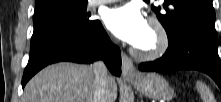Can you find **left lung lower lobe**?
Returning a JSON list of instances; mask_svg holds the SVG:
<instances>
[{
  "instance_id": "0a47b994",
  "label": "left lung lower lobe",
  "mask_w": 221,
  "mask_h": 102,
  "mask_svg": "<svg viewBox=\"0 0 221 102\" xmlns=\"http://www.w3.org/2000/svg\"><path fill=\"white\" fill-rule=\"evenodd\" d=\"M166 53L158 60L139 65L141 71L171 72L181 69L202 71L221 86V62L216 45L207 37L185 32L169 41Z\"/></svg>"
}]
</instances>
